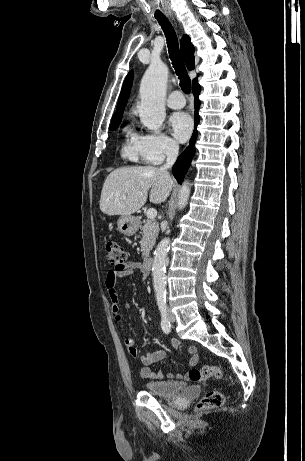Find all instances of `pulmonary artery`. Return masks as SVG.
<instances>
[{
	"label": "pulmonary artery",
	"instance_id": "e3ab8cb5",
	"mask_svg": "<svg viewBox=\"0 0 305 461\" xmlns=\"http://www.w3.org/2000/svg\"><path fill=\"white\" fill-rule=\"evenodd\" d=\"M185 103V98L179 91H173L167 98V105L172 109H181Z\"/></svg>",
	"mask_w": 305,
	"mask_h": 461
}]
</instances>
